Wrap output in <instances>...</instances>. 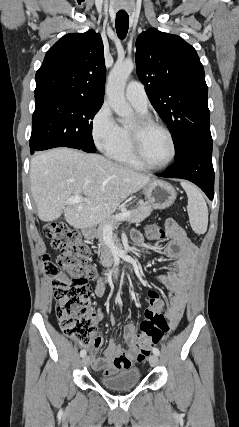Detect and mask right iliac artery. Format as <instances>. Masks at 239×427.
<instances>
[{
  "label": "right iliac artery",
  "mask_w": 239,
  "mask_h": 427,
  "mask_svg": "<svg viewBox=\"0 0 239 427\" xmlns=\"http://www.w3.org/2000/svg\"><path fill=\"white\" fill-rule=\"evenodd\" d=\"M85 355H86V350H81V351H80V356H81V357H84Z\"/></svg>",
  "instance_id": "82829eb1"
}]
</instances>
